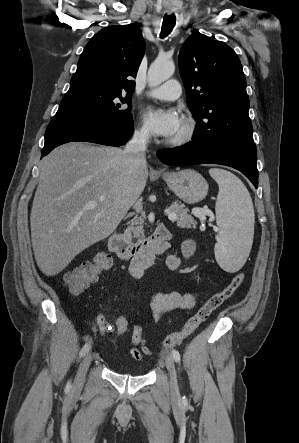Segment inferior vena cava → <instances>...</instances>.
<instances>
[{
  "label": "inferior vena cava",
  "mask_w": 299,
  "mask_h": 443,
  "mask_svg": "<svg viewBox=\"0 0 299 443\" xmlns=\"http://www.w3.org/2000/svg\"><path fill=\"white\" fill-rule=\"evenodd\" d=\"M148 140V133L145 131H135L132 139L126 144L124 153L131 157L135 165L146 163L145 150Z\"/></svg>",
  "instance_id": "inferior-vena-cava-1"
}]
</instances>
